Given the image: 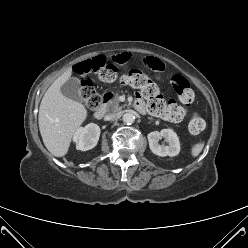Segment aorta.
<instances>
[{"label": "aorta", "instance_id": "1", "mask_svg": "<svg viewBox=\"0 0 248 248\" xmlns=\"http://www.w3.org/2000/svg\"><path fill=\"white\" fill-rule=\"evenodd\" d=\"M122 120L124 123L130 125L135 121V116L132 112H126L123 114Z\"/></svg>", "mask_w": 248, "mask_h": 248}]
</instances>
